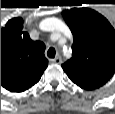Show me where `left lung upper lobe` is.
Masks as SVG:
<instances>
[{
	"instance_id": "5c2ea615",
	"label": "left lung upper lobe",
	"mask_w": 115,
	"mask_h": 114,
	"mask_svg": "<svg viewBox=\"0 0 115 114\" xmlns=\"http://www.w3.org/2000/svg\"><path fill=\"white\" fill-rule=\"evenodd\" d=\"M73 34V56L62 64L78 86L93 90L115 73V30L98 12L79 8L62 13Z\"/></svg>"
}]
</instances>
